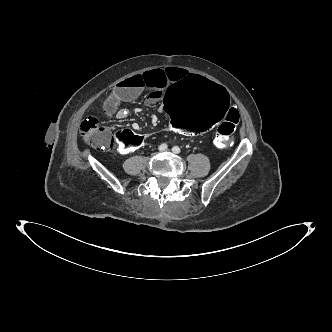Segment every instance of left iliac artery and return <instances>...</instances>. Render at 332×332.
Listing matches in <instances>:
<instances>
[{
    "mask_svg": "<svg viewBox=\"0 0 332 332\" xmlns=\"http://www.w3.org/2000/svg\"><path fill=\"white\" fill-rule=\"evenodd\" d=\"M172 151H173V153H175V154H179V153L181 152V149H180L178 146H174V147L172 148Z\"/></svg>",
    "mask_w": 332,
    "mask_h": 332,
    "instance_id": "1",
    "label": "left iliac artery"
}]
</instances>
